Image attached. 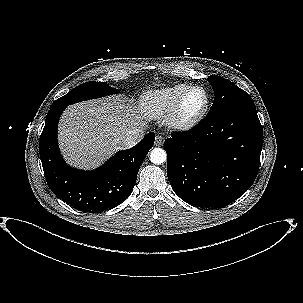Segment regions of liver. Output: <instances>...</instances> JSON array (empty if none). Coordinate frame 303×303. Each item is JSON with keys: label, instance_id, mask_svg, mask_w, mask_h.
I'll list each match as a JSON object with an SVG mask.
<instances>
[{"label": "liver", "instance_id": "6515ba94", "mask_svg": "<svg viewBox=\"0 0 303 303\" xmlns=\"http://www.w3.org/2000/svg\"><path fill=\"white\" fill-rule=\"evenodd\" d=\"M145 126L132 102L110 96L74 104L59 123V143L65 160L80 168L99 166L122 149L126 134Z\"/></svg>", "mask_w": 303, "mask_h": 303}]
</instances>
